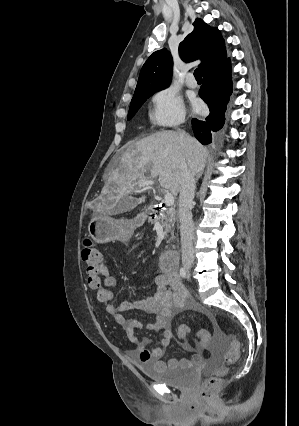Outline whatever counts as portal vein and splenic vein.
Returning <instances> with one entry per match:
<instances>
[{"instance_id":"18ae733b","label":"portal vein and splenic vein","mask_w":299,"mask_h":426,"mask_svg":"<svg viewBox=\"0 0 299 426\" xmlns=\"http://www.w3.org/2000/svg\"><path fill=\"white\" fill-rule=\"evenodd\" d=\"M155 181L153 180H148V181H143L142 183L139 184V188L141 187H148L151 185H154ZM164 203L166 205H172L174 203V196L172 193L166 192L164 195Z\"/></svg>"}]
</instances>
